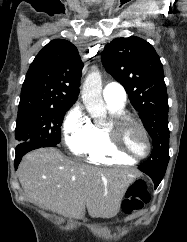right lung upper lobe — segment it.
<instances>
[{
	"mask_svg": "<svg viewBox=\"0 0 187 242\" xmlns=\"http://www.w3.org/2000/svg\"><path fill=\"white\" fill-rule=\"evenodd\" d=\"M83 63L67 40L49 42L26 74L18 109H69L77 100Z\"/></svg>",
	"mask_w": 187,
	"mask_h": 242,
	"instance_id": "cb5924a9",
	"label": "right lung upper lobe"
}]
</instances>
